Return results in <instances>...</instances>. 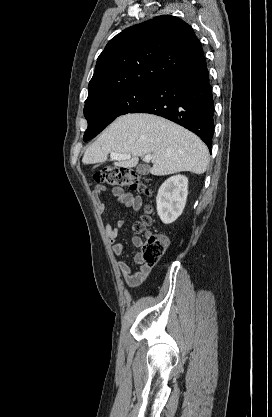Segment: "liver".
Masks as SVG:
<instances>
[{
  "label": "liver",
  "instance_id": "1",
  "mask_svg": "<svg viewBox=\"0 0 272 417\" xmlns=\"http://www.w3.org/2000/svg\"><path fill=\"white\" fill-rule=\"evenodd\" d=\"M112 152L132 155L114 162L124 168L135 167L139 157L152 154L150 173L155 176L183 171L203 174L209 164V151L199 137L167 119L144 113L118 117L87 148L82 162L104 163Z\"/></svg>",
  "mask_w": 272,
  "mask_h": 417
}]
</instances>
